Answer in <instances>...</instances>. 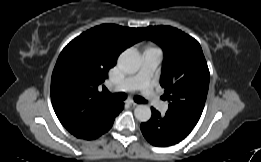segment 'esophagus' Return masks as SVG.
<instances>
[{"label":"esophagus","mask_w":261,"mask_h":162,"mask_svg":"<svg viewBox=\"0 0 261 162\" xmlns=\"http://www.w3.org/2000/svg\"><path fill=\"white\" fill-rule=\"evenodd\" d=\"M127 104H128L130 107H136V106H138L137 103L132 102V101H128Z\"/></svg>","instance_id":"34e87169"}]
</instances>
